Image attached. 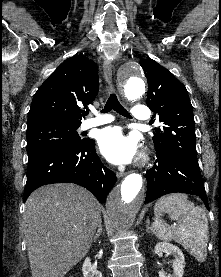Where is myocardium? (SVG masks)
Masks as SVG:
<instances>
[{
	"label": "myocardium",
	"mask_w": 221,
	"mask_h": 277,
	"mask_svg": "<svg viewBox=\"0 0 221 277\" xmlns=\"http://www.w3.org/2000/svg\"><path fill=\"white\" fill-rule=\"evenodd\" d=\"M147 161V156L145 155V154H143L142 156H141V158H140V162L141 163H144V162H146Z\"/></svg>",
	"instance_id": "obj_1"
}]
</instances>
